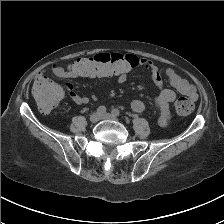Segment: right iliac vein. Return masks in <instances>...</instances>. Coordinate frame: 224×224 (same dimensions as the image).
<instances>
[{"instance_id":"1","label":"right iliac vein","mask_w":224,"mask_h":224,"mask_svg":"<svg viewBox=\"0 0 224 224\" xmlns=\"http://www.w3.org/2000/svg\"><path fill=\"white\" fill-rule=\"evenodd\" d=\"M100 119H101V115H100L98 112H95V113H93V114L90 116V121H91L92 123H96V122H98Z\"/></svg>"}]
</instances>
